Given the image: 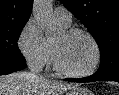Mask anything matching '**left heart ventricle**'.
<instances>
[{
  "label": "left heart ventricle",
  "mask_w": 119,
  "mask_h": 95,
  "mask_svg": "<svg viewBox=\"0 0 119 95\" xmlns=\"http://www.w3.org/2000/svg\"><path fill=\"white\" fill-rule=\"evenodd\" d=\"M60 51L64 65L76 72L88 70L95 59V49L91 41L84 35L66 36L63 32L55 43Z\"/></svg>",
  "instance_id": "1"
}]
</instances>
